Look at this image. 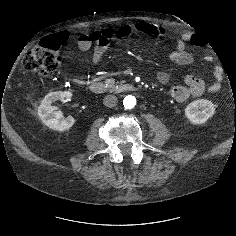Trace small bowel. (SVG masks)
Masks as SVG:
<instances>
[{"instance_id": "obj_1", "label": "small bowel", "mask_w": 236, "mask_h": 236, "mask_svg": "<svg viewBox=\"0 0 236 236\" xmlns=\"http://www.w3.org/2000/svg\"><path fill=\"white\" fill-rule=\"evenodd\" d=\"M134 33H142L151 37L164 38L168 37L169 33L167 29L159 24L153 22H133L129 24L121 25L114 33L116 39L126 38ZM57 38L65 43L68 40V34L60 32ZM94 40L92 36L87 33L80 34L77 38L76 49L79 51H87L93 45ZM110 39L102 36L95 41L93 48L91 62L94 65L102 62L106 51L109 47ZM196 44V36L194 34H181L177 38L176 47L170 53V60L176 65L184 66L193 62L194 55L187 50V44ZM159 82L166 84L170 80V75L167 72L161 71L157 74ZM185 85H174L170 87V96L178 103H183L191 97H196L204 94L206 91L218 92L222 84V70L215 68L214 81L207 85L202 79L194 75L184 76Z\"/></svg>"}]
</instances>
